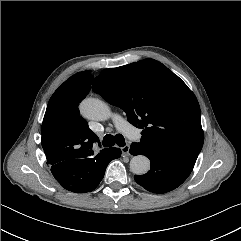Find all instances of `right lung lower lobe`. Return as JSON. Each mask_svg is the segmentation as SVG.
Returning <instances> with one entry per match:
<instances>
[{"label":"right lung lower lobe","mask_w":241,"mask_h":241,"mask_svg":"<svg viewBox=\"0 0 241 241\" xmlns=\"http://www.w3.org/2000/svg\"><path fill=\"white\" fill-rule=\"evenodd\" d=\"M120 156L121 150L112 147L106 153L94 157L68 159L49 164L53 176L63 188L75 193H84L98 186L109 162Z\"/></svg>","instance_id":"right-lung-lower-lobe-1"}]
</instances>
